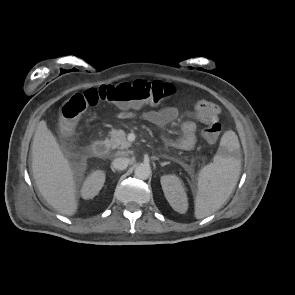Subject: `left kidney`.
Listing matches in <instances>:
<instances>
[{
	"instance_id": "left-kidney-1",
	"label": "left kidney",
	"mask_w": 295,
	"mask_h": 295,
	"mask_svg": "<svg viewBox=\"0 0 295 295\" xmlns=\"http://www.w3.org/2000/svg\"><path fill=\"white\" fill-rule=\"evenodd\" d=\"M161 186L171 207L179 213H185L188 201L182 181L176 175H164L161 177Z\"/></svg>"
}]
</instances>
